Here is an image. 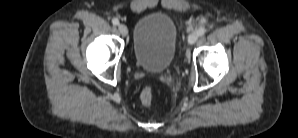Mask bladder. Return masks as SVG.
I'll use <instances>...</instances> for the list:
<instances>
[{
	"mask_svg": "<svg viewBox=\"0 0 298 138\" xmlns=\"http://www.w3.org/2000/svg\"><path fill=\"white\" fill-rule=\"evenodd\" d=\"M176 44L177 27L172 18L161 12L147 14L133 31L134 61L148 71H166L173 62Z\"/></svg>",
	"mask_w": 298,
	"mask_h": 138,
	"instance_id": "1",
	"label": "bladder"
}]
</instances>
